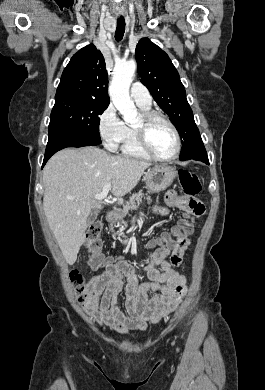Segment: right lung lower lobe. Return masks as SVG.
<instances>
[{"instance_id": "right-lung-lower-lobe-1", "label": "right lung lower lobe", "mask_w": 265, "mask_h": 390, "mask_svg": "<svg viewBox=\"0 0 265 390\" xmlns=\"http://www.w3.org/2000/svg\"><path fill=\"white\" fill-rule=\"evenodd\" d=\"M99 143L75 136L72 134L59 133L52 136H49L48 144L45 151L43 166L48 161V159L57 151L67 148V147H83V146H95Z\"/></svg>"}]
</instances>
